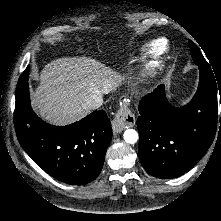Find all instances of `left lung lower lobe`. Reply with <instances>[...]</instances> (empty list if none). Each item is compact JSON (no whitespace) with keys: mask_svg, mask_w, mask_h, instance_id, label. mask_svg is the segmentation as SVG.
<instances>
[{"mask_svg":"<svg viewBox=\"0 0 221 221\" xmlns=\"http://www.w3.org/2000/svg\"><path fill=\"white\" fill-rule=\"evenodd\" d=\"M198 66V90L187 105L171 106L163 85L139 103V159L154 177L175 178L190 170L211 146L218 130L220 80L210 66Z\"/></svg>","mask_w":221,"mask_h":221,"instance_id":"1","label":"left lung lower lobe"}]
</instances>
